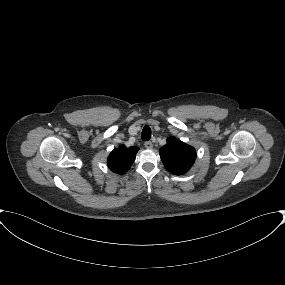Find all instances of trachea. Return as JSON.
Segmentation results:
<instances>
[{"label":"trachea","instance_id":"3493384b","mask_svg":"<svg viewBox=\"0 0 285 285\" xmlns=\"http://www.w3.org/2000/svg\"><path fill=\"white\" fill-rule=\"evenodd\" d=\"M141 138H142L143 141L150 140V138H151V128L148 125L144 126V128L142 130Z\"/></svg>","mask_w":285,"mask_h":285}]
</instances>
